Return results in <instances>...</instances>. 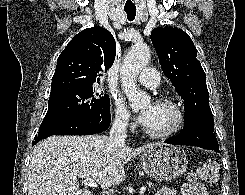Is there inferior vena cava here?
Segmentation results:
<instances>
[{"mask_svg": "<svg viewBox=\"0 0 245 195\" xmlns=\"http://www.w3.org/2000/svg\"><path fill=\"white\" fill-rule=\"evenodd\" d=\"M127 119L124 117H117L109 132L110 140L116 145H124L126 138Z\"/></svg>", "mask_w": 245, "mask_h": 195, "instance_id": "inferior-vena-cava-1", "label": "inferior vena cava"}]
</instances>
